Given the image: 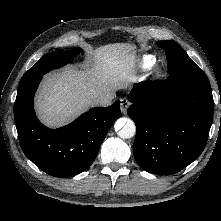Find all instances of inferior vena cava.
<instances>
[{"label": "inferior vena cava", "instance_id": "inferior-vena-cava-1", "mask_svg": "<svg viewBox=\"0 0 221 221\" xmlns=\"http://www.w3.org/2000/svg\"><path fill=\"white\" fill-rule=\"evenodd\" d=\"M115 97V93H109L106 95L99 96L94 99V104L97 106H109L113 103Z\"/></svg>", "mask_w": 221, "mask_h": 221}]
</instances>
